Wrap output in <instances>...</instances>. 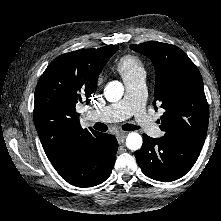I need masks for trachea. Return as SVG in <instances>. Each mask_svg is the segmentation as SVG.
<instances>
[{
	"instance_id": "1",
	"label": "trachea",
	"mask_w": 221,
	"mask_h": 221,
	"mask_svg": "<svg viewBox=\"0 0 221 221\" xmlns=\"http://www.w3.org/2000/svg\"><path fill=\"white\" fill-rule=\"evenodd\" d=\"M94 129L104 132L108 129V127L105 124L98 122L94 125ZM123 129L130 131V130H137L138 127L136 125H132V124H125V125H123Z\"/></svg>"
}]
</instances>
